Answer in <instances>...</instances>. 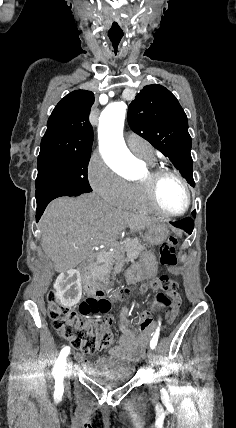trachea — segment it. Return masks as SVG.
<instances>
[{
  "mask_svg": "<svg viewBox=\"0 0 236 428\" xmlns=\"http://www.w3.org/2000/svg\"><path fill=\"white\" fill-rule=\"evenodd\" d=\"M120 23L119 16L115 15L107 36L113 52H120L123 41L125 40V35L123 34V29L120 27Z\"/></svg>",
  "mask_w": 236,
  "mask_h": 428,
  "instance_id": "1",
  "label": "trachea"
}]
</instances>
